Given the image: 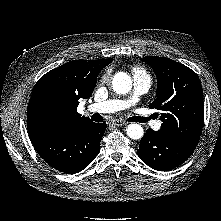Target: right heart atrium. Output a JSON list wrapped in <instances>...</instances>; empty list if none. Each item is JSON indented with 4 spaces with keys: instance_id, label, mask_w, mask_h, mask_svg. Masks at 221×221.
I'll return each instance as SVG.
<instances>
[{
    "instance_id": "obj_1",
    "label": "right heart atrium",
    "mask_w": 221,
    "mask_h": 221,
    "mask_svg": "<svg viewBox=\"0 0 221 221\" xmlns=\"http://www.w3.org/2000/svg\"><path fill=\"white\" fill-rule=\"evenodd\" d=\"M107 77H108V74H107V73L104 74V75L102 76V81H105V80L107 79Z\"/></svg>"
}]
</instances>
